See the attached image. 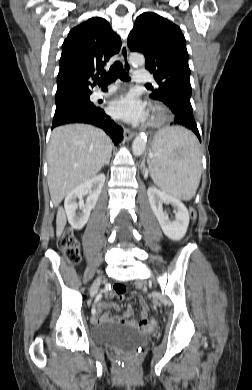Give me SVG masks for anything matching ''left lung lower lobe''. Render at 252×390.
Segmentation results:
<instances>
[{
	"label": "left lung lower lobe",
	"mask_w": 252,
	"mask_h": 390,
	"mask_svg": "<svg viewBox=\"0 0 252 390\" xmlns=\"http://www.w3.org/2000/svg\"><path fill=\"white\" fill-rule=\"evenodd\" d=\"M167 107L171 109L174 114V125H182L192 130L201 142L200 134L194 119L192 106L190 103V97L171 94L167 100L164 101Z\"/></svg>",
	"instance_id": "obj_1"
}]
</instances>
